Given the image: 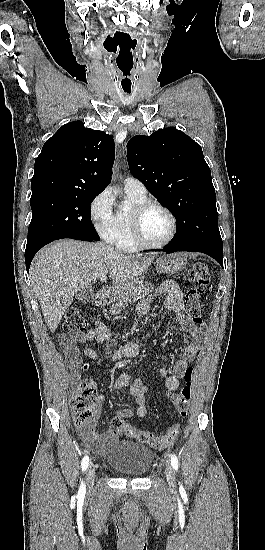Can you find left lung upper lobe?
Segmentation results:
<instances>
[{"label": "left lung upper lobe", "mask_w": 265, "mask_h": 550, "mask_svg": "<svg viewBox=\"0 0 265 550\" xmlns=\"http://www.w3.org/2000/svg\"><path fill=\"white\" fill-rule=\"evenodd\" d=\"M127 158L131 174L175 216L171 244L223 254L215 189L201 146L169 127L133 137Z\"/></svg>", "instance_id": "1"}]
</instances>
